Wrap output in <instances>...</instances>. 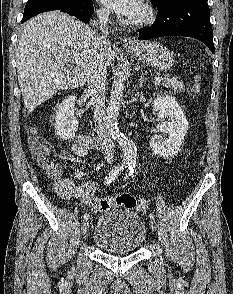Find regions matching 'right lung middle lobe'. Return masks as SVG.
Masks as SVG:
<instances>
[{"label":"right lung middle lobe","instance_id":"right-lung-middle-lobe-1","mask_svg":"<svg viewBox=\"0 0 233 294\" xmlns=\"http://www.w3.org/2000/svg\"><path fill=\"white\" fill-rule=\"evenodd\" d=\"M79 1L81 0H28L22 21L24 22L42 12L69 7Z\"/></svg>","mask_w":233,"mask_h":294}]
</instances>
